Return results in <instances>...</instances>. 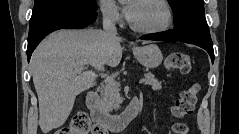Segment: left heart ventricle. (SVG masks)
<instances>
[{"label":"left heart ventricle","instance_id":"obj_1","mask_svg":"<svg viewBox=\"0 0 239 134\" xmlns=\"http://www.w3.org/2000/svg\"><path fill=\"white\" fill-rule=\"evenodd\" d=\"M165 20V12L158 4L141 0L134 2V14L130 21L143 28H154L160 26Z\"/></svg>","mask_w":239,"mask_h":134}]
</instances>
